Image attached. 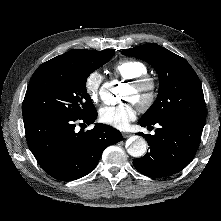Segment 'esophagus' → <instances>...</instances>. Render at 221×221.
<instances>
[{
	"label": "esophagus",
	"mask_w": 221,
	"mask_h": 221,
	"mask_svg": "<svg viewBox=\"0 0 221 221\" xmlns=\"http://www.w3.org/2000/svg\"><path fill=\"white\" fill-rule=\"evenodd\" d=\"M122 136H123L124 138H128V137L131 136V133H129V132H123V133H122Z\"/></svg>",
	"instance_id": "1"
}]
</instances>
